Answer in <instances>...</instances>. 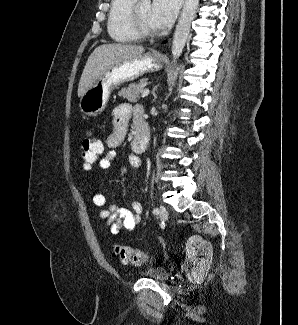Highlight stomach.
Masks as SVG:
<instances>
[{
    "label": "stomach",
    "instance_id": "1",
    "mask_svg": "<svg viewBox=\"0 0 298 325\" xmlns=\"http://www.w3.org/2000/svg\"><path fill=\"white\" fill-rule=\"evenodd\" d=\"M165 62L164 54L157 52V50H149V52H143V54H139L135 58H129V60H123L120 64L111 66L101 78H98L80 96V110L87 116H97L106 108L113 88H118L124 82L136 80V78L144 76L146 72L161 70Z\"/></svg>",
    "mask_w": 298,
    "mask_h": 325
}]
</instances>
